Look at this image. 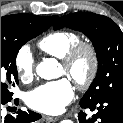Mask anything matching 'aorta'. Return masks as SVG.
Returning a JSON list of instances; mask_svg holds the SVG:
<instances>
[{
  "label": "aorta",
  "instance_id": "762f6f07",
  "mask_svg": "<svg viewBox=\"0 0 123 123\" xmlns=\"http://www.w3.org/2000/svg\"><path fill=\"white\" fill-rule=\"evenodd\" d=\"M57 61L53 58L41 61L37 67V74L46 80H51L57 77ZM60 123H73L71 120H62Z\"/></svg>",
  "mask_w": 123,
  "mask_h": 123
}]
</instances>
